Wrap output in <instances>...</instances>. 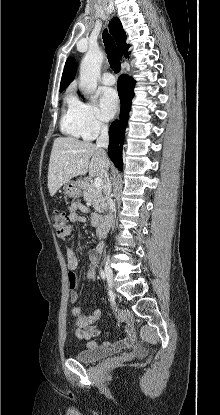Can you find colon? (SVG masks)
Returning a JSON list of instances; mask_svg holds the SVG:
<instances>
[{
    "label": "colon",
    "instance_id": "obj_1",
    "mask_svg": "<svg viewBox=\"0 0 220 415\" xmlns=\"http://www.w3.org/2000/svg\"><path fill=\"white\" fill-rule=\"evenodd\" d=\"M53 224L58 235H62L70 221V214L63 210H56L52 214Z\"/></svg>",
    "mask_w": 220,
    "mask_h": 415
}]
</instances>
